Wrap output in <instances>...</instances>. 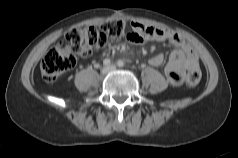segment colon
Segmentation results:
<instances>
[{
  "mask_svg": "<svg viewBox=\"0 0 238 158\" xmlns=\"http://www.w3.org/2000/svg\"><path fill=\"white\" fill-rule=\"evenodd\" d=\"M133 33V23L128 24L121 20H111L99 27L72 29L43 58L40 65L42 77L47 82H53L75 66L74 54L88 57L95 49L105 46L109 38L128 39ZM200 79L201 71L198 68L189 71L185 81L187 86L194 87Z\"/></svg>",
  "mask_w": 238,
  "mask_h": 158,
  "instance_id": "5ec220e1",
  "label": "colon"
}]
</instances>
